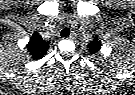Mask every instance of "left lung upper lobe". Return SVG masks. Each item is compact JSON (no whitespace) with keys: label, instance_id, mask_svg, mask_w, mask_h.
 <instances>
[{"label":"left lung upper lobe","instance_id":"5c2ea615","mask_svg":"<svg viewBox=\"0 0 135 95\" xmlns=\"http://www.w3.org/2000/svg\"><path fill=\"white\" fill-rule=\"evenodd\" d=\"M87 48L91 54H96L101 49V41L98 39V36L95 37L93 41H91Z\"/></svg>","mask_w":135,"mask_h":95}]
</instances>
